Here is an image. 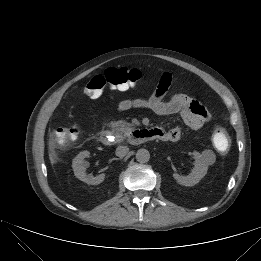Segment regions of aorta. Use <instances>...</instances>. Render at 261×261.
<instances>
[{
  "label": "aorta",
  "instance_id": "obj_1",
  "mask_svg": "<svg viewBox=\"0 0 261 261\" xmlns=\"http://www.w3.org/2000/svg\"><path fill=\"white\" fill-rule=\"evenodd\" d=\"M149 159H150V153L147 149L142 148L136 152V160L139 163H146L149 161Z\"/></svg>",
  "mask_w": 261,
  "mask_h": 261
}]
</instances>
